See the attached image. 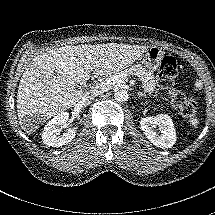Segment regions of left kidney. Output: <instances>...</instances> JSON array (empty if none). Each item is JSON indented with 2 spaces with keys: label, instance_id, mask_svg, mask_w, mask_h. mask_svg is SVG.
<instances>
[{
  "label": "left kidney",
  "instance_id": "left-kidney-1",
  "mask_svg": "<svg viewBox=\"0 0 215 215\" xmlns=\"http://www.w3.org/2000/svg\"><path fill=\"white\" fill-rule=\"evenodd\" d=\"M140 128L156 147L171 148L176 142V130L171 117L167 114L142 118Z\"/></svg>",
  "mask_w": 215,
  "mask_h": 215
}]
</instances>
